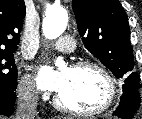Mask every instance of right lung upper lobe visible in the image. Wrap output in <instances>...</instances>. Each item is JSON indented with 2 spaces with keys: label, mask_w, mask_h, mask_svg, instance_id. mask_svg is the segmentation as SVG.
I'll use <instances>...</instances> for the list:
<instances>
[{
  "label": "right lung upper lobe",
  "mask_w": 142,
  "mask_h": 119,
  "mask_svg": "<svg viewBox=\"0 0 142 119\" xmlns=\"http://www.w3.org/2000/svg\"><path fill=\"white\" fill-rule=\"evenodd\" d=\"M24 0H0V50H16L25 17Z\"/></svg>",
  "instance_id": "right-lung-upper-lobe-1"
}]
</instances>
